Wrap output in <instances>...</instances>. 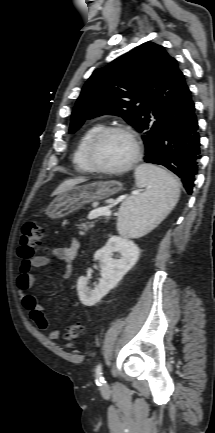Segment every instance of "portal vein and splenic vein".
Listing matches in <instances>:
<instances>
[{"mask_svg": "<svg viewBox=\"0 0 215 433\" xmlns=\"http://www.w3.org/2000/svg\"><path fill=\"white\" fill-rule=\"evenodd\" d=\"M138 193H139L138 191H133L132 195H137ZM110 215H111V211H110L109 207H100V208L93 210L88 215V218L89 219H95L99 216H110Z\"/></svg>", "mask_w": 215, "mask_h": 433, "instance_id": "1", "label": "portal vein and splenic vein"}]
</instances>
